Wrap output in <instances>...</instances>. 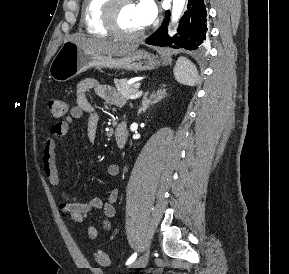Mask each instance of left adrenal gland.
I'll use <instances>...</instances> for the list:
<instances>
[{"instance_id": "left-adrenal-gland-1", "label": "left adrenal gland", "mask_w": 289, "mask_h": 274, "mask_svg": "<svg viewBox=\"0 0 289 274\" xmlns=\"http://www.w3.org/2000/svg\"><path fill=\"white\" fill-rule=\"evenodd\" d=\"M164 87H165V85H163V88ZM165 96H166V89H160L156 93L153 92L151 94L150 98H148V93H146L143 97L140 110L142 112H145L149 108L150 105L157 103Z\"/></svg>"}]
</instances>
